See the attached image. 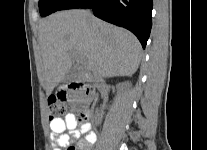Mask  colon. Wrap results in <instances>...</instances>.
Listing matches in <instances>:
<instances>
[{
    "instance_id": "obj_1",
    "label": "colon",
    "mask_w": 207,
    "mask_h": 150,
    "mask_svg": "<svg viewBox=\"0 0 207 150\" xmlns=\"http://www.w3.org/2000/svg\"><path fill=\"white\" fill-rule=\"evenodd\" d=\"M48 109H49V118L57 119L62 118L66 114V106L63 100L57 96H51L48 99ZM79 118L83 119L84 114L83 112L79 113Z\"/></svg>"
}]
</instances>
